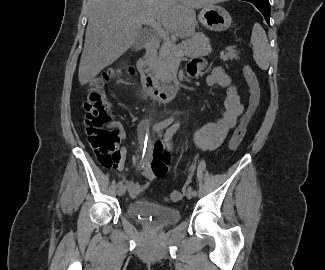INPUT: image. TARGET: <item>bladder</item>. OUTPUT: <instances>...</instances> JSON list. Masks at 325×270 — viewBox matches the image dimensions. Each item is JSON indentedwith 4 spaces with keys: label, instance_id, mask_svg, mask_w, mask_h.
I'll use <instances>...</instances> for the list:
<instances>
[{
    "label": "bladder",
    "instance_id": "31cf9c89",
    "mask_svg": "<svg viewBox=\"0 0 325 270\" xmlns=\"http://www.w3.org/2000/svg\"><path fill=\"white\" fill-rule=\"evenodd\" d=\"M130 218L154 228H162L180 221L181 213L175 207L160 205L145 199L131 202L127 206Z\"/></svg>",
    "mask_w": 325,
    "mask_h": 270
}]
</instances>
